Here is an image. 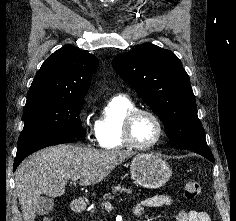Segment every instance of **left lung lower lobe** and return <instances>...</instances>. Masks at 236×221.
<instances>
[{"instance_id":"left-lung-lower-lobe-1","label":"left lung lower lobe","mask_w":236,"mask_h":221,"mask_svg":"<svg viewBox=\"0 0 236 221\" xmlns=\"http://www.w3.org/2000/svg\"><path fill=\"white\" fill-rule=\"evenodd\" d=\"M192 151L197 153V154L202 155L203 157L207 158L211 162H214V157H213L209 147H203V148H200V149H197V150H192Z\"/></svg>"}]
</instances>
